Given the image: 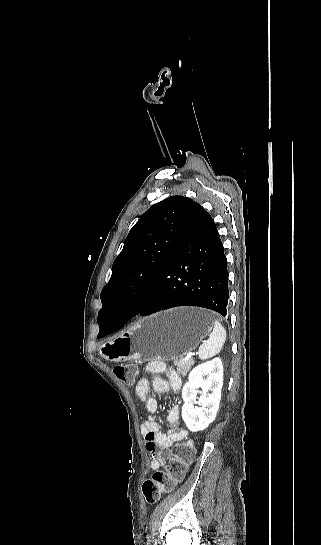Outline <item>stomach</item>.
Masks as SVG:
<instances>
[{"mask_svg":"<svg viewBox=\"0 0 321 545\" xmlns=\"http://www.w3.org/2000/svg\"><path fill=\"white\" fill-rule=\"evenodd\" d=\"M212 329V311L177 307L143 317L107 343V359L119 361H172L194 351Z\"/></svg>","mask_w":321,"mask_h":545,"instance_id":"stomach-1","label":"stomach"}]
</instances>
